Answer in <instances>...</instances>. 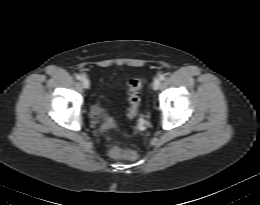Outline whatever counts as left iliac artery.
Returning <instances> with one entry per match:
<instances>
[{
    "label": "left iliac artery",
    "mask_w": 260,
    "mask_h": 205,
    "mask_svg": "<svg viewBox=\"0 0 260 205\" xmlns=\"http://www.w3.org/2000/svg\"><path fill=\"white\" fill-rule=\"evenodd\" d=\"M165 75H160V80H165Z\"/></svg>",
    "instance_id": "1"
}]
</instances>
